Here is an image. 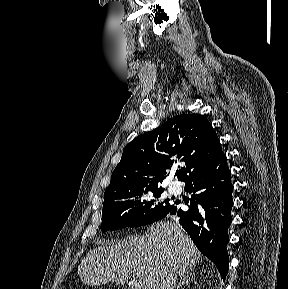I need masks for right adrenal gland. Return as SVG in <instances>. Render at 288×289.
Masks as SVG:
<instances>
[{"label": "right adrenal gland", "instance_id": "right-adrenal-gland-1", "mask_svg": "<svg viewBox=\"0 0 288 289\" xmlns=\"http://www.w3.org/2000/svg\"><path fill=\"white\" fill-rule=\"evenodd\" d=\"M194 274L190 272H186L184 275L180 277L179 283L176 286V289H180L184 285H188L190 279L194 280Z\"/></svg>", "mask_w": 288, "mask_h": 289}]
</instances>
